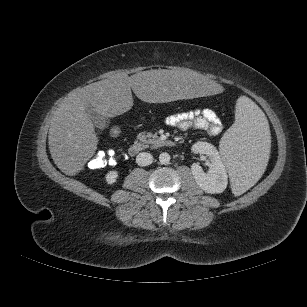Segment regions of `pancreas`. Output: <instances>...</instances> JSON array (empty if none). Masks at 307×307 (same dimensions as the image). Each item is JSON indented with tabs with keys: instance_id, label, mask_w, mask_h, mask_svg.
<instances>
[{
	"instance_id": "pancreas-1",
	"label": "pancreas",
	"mask_w": 307,
	"mask_h": 307,
	"mask_svg": "<svg viewBox=\"0 0 307 307\" xmlns=\"http://www.w3.org/2000/svg\"><path fill=\"white\" fill-rule=\"evenodd\" d=\"M137 139L144 146H147L149 144L159 146L163 143L158 138L157 134H152L151 132H141L137 135Z\"/></svg>"
}]
</instances>
